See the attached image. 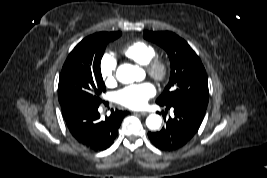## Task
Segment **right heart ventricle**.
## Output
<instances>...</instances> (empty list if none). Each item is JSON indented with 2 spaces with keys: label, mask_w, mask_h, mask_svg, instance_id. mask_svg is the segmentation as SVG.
<instances>
[{
  "label": "right heart ventricle",
  "mask_w": 267,
  "mask_h": 178,
  "mask_svg": "<svg viewBox=\"0 0 267 178\" xmlns=\"http://www.w3.org/2000/svg\"><path fill=\"white\" fill-rule=\"evenodd\" d=\"M123 53L129 59L144 66L156 55V50L151 44L142 40H136L130 43Z\"/></svg>",
  "instance_id": "obj_1"
}]
</instances>
